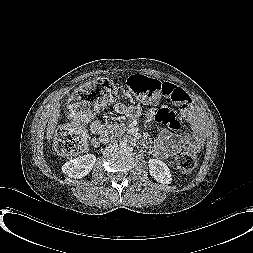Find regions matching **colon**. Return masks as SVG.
<instances>
[{
  "label": "colon",
  "mask_w": 253,
  "mask_h": 253,
  "mask_svg": "<svg viewBox=\"0 0 253 253\" xmlns=\"http://www.w3.org/2000/svg\"><path fill=\"white\" fill-rule=\"evenodd\" d=\"M129 90L142 102L158 104L161 101H176V86L158 79L136 74L128 79ZM120 94L119 86L112 80L99 79L82 85L68 102V115L74 122H81L92 116L102 106L115 101ZM87 136L74 123L58 127L54 149L61 156H72L84 151ZM177 168L185 174L194 170L197 164L195 153L181 150L175 158Z\"/></svg>",
  "instance_id": "5ec220e1"
}]
</instances>
